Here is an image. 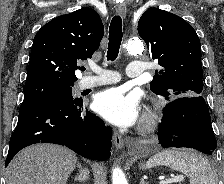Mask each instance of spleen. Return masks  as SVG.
Segmentation results:
<instances>
[{"mask_svg":"<svg viewBox=\"0 0 224 184\" xmlns=\"http://www.w3.org/2000/svg\"><path fill=\"white\" fill-rule=\"evenodd\" d=\"M168 166L190 179V184H215L214 173L208 160L189 149L166 150L155 154L146 163L147 168Z\"/></svg>","mask_w":224,"mask_h":184,"instance_id":"1","label":"spleen"}]
</instances>
